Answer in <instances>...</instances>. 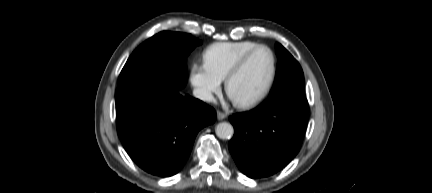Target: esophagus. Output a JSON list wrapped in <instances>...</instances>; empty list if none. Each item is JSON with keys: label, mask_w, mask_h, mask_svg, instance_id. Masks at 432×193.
Masks as SVG:
<instances>
[{"label": "esophagus", "mask_w": 432, "mask_h": 193, "mask_svg": "<svg viewBox=\"0 0 432 193\" xmlns=\"http://www.w3.org/2000/svg\"><path fill=\"white\" fill-rule=\"evenodd\" d=\"M227 117V115L221 111H217V119L218 120H223Z\"/></svg>", "instance_id": "34e87169"}]
</instances>
